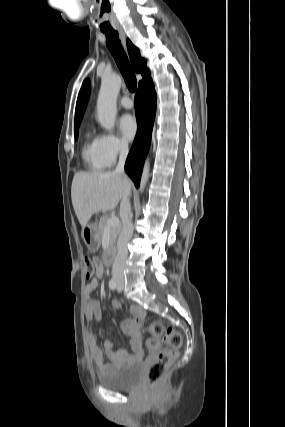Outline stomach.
<instances>
[{
    "label": "stomach",
    "instance_id": "0dacf381",
    "mask_svg": "<svg viewBox=\"0 0 285 427\" xmlns=\"http://www.w3.org/2000/svg\"><path fill=\"white\" fill-rule=\"evenodd\" d=\"M82 237L90 250H97L100 246L101 237L96 224H89L82 229Z\"/></svg>",
    "mask_w": 285,
    "mask_h": 427
}]
</instances>
